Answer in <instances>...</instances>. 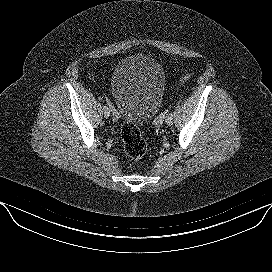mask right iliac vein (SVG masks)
Masks as SVG:
<instances>
[{"instance_id":"obj_1","label":"right iliac vein","mask_w":272,"mask_h":272,"mask_svg":"<svg viewBox=\"0 0 272 272\" xmlns=\"http://www.w3.org/2000/svg\"><path fill=\"white\" fill-rule=\"evenodd\" d=\"M104 117L105 118H109V116H110V110L109 109H104Z\"/></svg>"}]
</instances>
